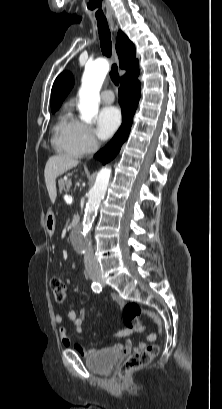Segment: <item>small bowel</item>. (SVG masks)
<instances>
[{"label": "small bowel", "mask_w": 222, "mask_h": 409, "mask_svg": "<svg viewBox=\"0 0 222 409\" xmlns=\"http://www.w3.org/2000/svg\"><path fill=\"white\" fill-rule=\"evenodd\" d=\"M113 299L119 304L120 307L124 306V301L117 295L113 296ZM84 316H85V311L83 309L80 310L79 314H77L75 311H70L68 313V318L74 325L76 331L81 334L82 333V327H83V321H84ZM55 323L59 326V332L66 343V345L71 346L77 353H79L82 356H90L92 354H95L99 352L102 349H107V348H113L115 350H121L124 353H129L133 349V345L131 340H127L123 344H115L111 346H103V347H98L94 349H85L81 344L78 342L74 341L72 338H70L67 334L66 328L63 326V317L59 314L55 315ZM132 334V331L128 328H125L117 333L114 334L116 337H130ZM147 341H154L156 339L155 334H149L147 336ZM145 345V341L139 342L137 347L135 349L142 348Z\"/></svg>", "instance_id": "1"}]
</instances>
